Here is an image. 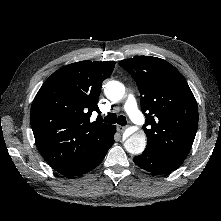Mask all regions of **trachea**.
Returning <instances> with one entry per match:
<instances>
[{
	"label": "trachea",
	"instance_id": "trachea-1",
	"mask_svg": "<svg viewBox=\"0 0 221 221\" xmlns=\"http://www.w3.org/2000/svg\"><path fill=\"white\" fill-rule=\"evenodd\" d=\"M105 123L114 124L117 123L119 125L125 126L127 124L126 118L123 115L117 117L115 113H110L104 118Z\"/></svg>",
	"mask_w": 221,
	"mask_h": 221
}]
</instances>
